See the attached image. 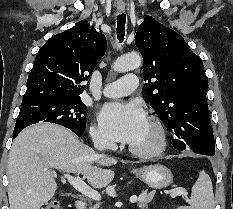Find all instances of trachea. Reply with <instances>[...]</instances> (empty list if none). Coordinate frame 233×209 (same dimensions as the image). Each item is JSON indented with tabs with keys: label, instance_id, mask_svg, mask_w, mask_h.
<instances>
[{
	"label": "trachea",
	"instance_id": "obj_1",
	"mask_svg": "<svg viewBox=\"0 0 233 209\" xmlns=\"http://www.w3.org/2000/svg\"><path fill=\"white\" fill-rule=\"evenodd\" d=\"M125 24L126 16L125 14H119L117 18V37L120 43L123 42L125 36Z\"/></svg>",
	"mask_w": 233,
	"mask_h": 209
}]
</instances>
